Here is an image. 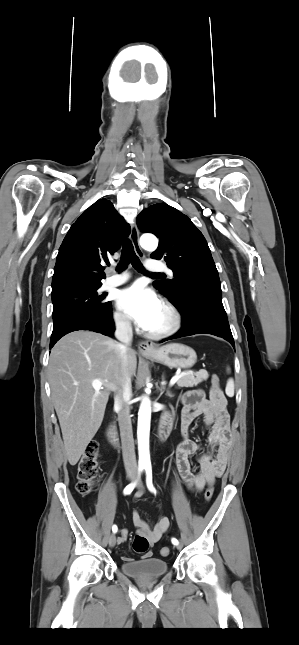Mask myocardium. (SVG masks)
Returning <instances> with one entry per match:
<instances>
[{
  "mask_svg": "<svg viewBox=\"0 0 299 645\" xmlns=\"http://www.w3.org/2000/svg\"><path fill=\"white\" fill-rule=\"evenodd\" d=\"M162 308L167 315V324L164 328L157 331L147 330L145 334L152 339H162L176 333L181 326V315L178 310L170 303L163 302Z\"/></svg>",
  "mask_w": 299,
  "mask_h": 645,
  "instance_id": "myocardium-1",
  "label": "myocardium"
}]
</instances>
